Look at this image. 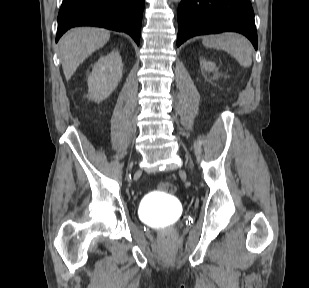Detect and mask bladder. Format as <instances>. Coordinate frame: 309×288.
<instances>
[{
  "label": "bladder",
  "mask_w": 309,
  "mask_h": 288,
  "mask_svg": "<svg viewBox=\"0 0 309 288\" xmlns=\"http://www.w3.org/2000/svg\"><path fill=\"white\" fill-rule=\"evenodd\" d=\"M140 214L146 223L160 225L175 221L180 214V208L173 195L165 192L160 196H146L141 203Z\"/></svg>",
  "instance_id": "bladder-1"
}]
</instances>
